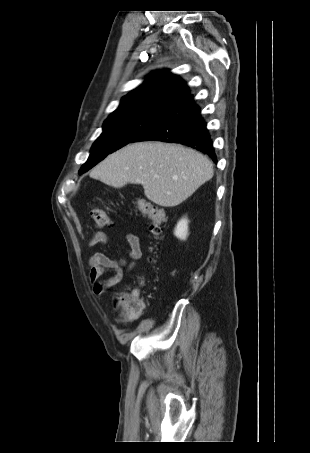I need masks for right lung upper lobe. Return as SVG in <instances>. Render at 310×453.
<instances>
[{"instance_id":"obj_1","label":"right lung upper lobe","mask_w":310,"mask_h":453,"mask_svg":"<svg viewBox=\"0 0 310 453\" xmlns=\"http://www.w3.org/2000/svg\"><path fill=\"white\" fill-rule=\"evenodd\" d=\"M190 94L189 87L167 70L151 73L143 84L125 95L119 107L110 114L159 117L169 107Z\"/></svg>"}]
</instances>
